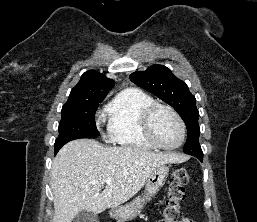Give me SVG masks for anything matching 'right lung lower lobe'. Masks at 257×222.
<instances>
[{
	"label": "right lung lower lobe",
	"instance_id": "1",
	"mask_svg": "<svg viewBox=\"0 0 257 222\" xmlns=\"http://www.w3.org/2000/svg\"><path fill=\"white\" fill-rule=\"evenodd\" d=\"M59 150H55V154L58 152Z\"/></svg>",
	"mask_w": 257,
	"mask_h": 222
}]
</instances>
